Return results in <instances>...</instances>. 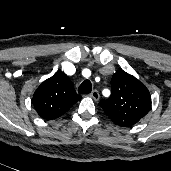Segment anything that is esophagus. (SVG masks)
I'll list each match as a JSON object with an SVG mask.
<instances>
[{"mask_svg":"<svg viewBox=\"0 0 171 171\" xmlns=\"http://www.w3.org/2000/svg\"><path fill=\"white\" fill-rule=\"evenodd\" d=\"M90 96L95 100V101H98L99 100V92L97 90H93L91 93H90Z\"/></svg>","mask_w":171,"mask_h":171,"instance_id":"esophagus-1","label":"esophagus"}]
</instances>
